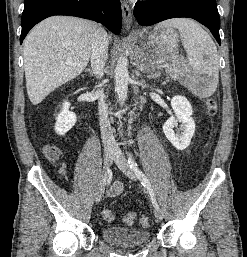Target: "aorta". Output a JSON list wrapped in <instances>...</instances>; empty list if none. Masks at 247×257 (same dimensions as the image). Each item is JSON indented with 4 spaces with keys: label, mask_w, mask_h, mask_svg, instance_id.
Listing matches in <instances>:
<instances>
[{
    "label": "aorta",
    "mask_w": 247,
    "mask_h": 257,
    "mask_svg": "<svg viewBox=\"0 0 247 257\" xmlns=\"http://www.w3.org/2000/svg\"><path fill=\"white\" fill-rule=\"evenodd\" d=\"M115 92L117 93L118 101L122 106L125 103L128 92V60L126 57L120 56L115 68Z\"/></svg>",
    "instance_id": "aorta-1"
}]
</instances>
